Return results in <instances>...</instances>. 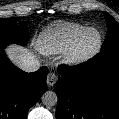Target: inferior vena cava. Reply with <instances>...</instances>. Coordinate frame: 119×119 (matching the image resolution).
<instances>
[{
	"label": "inferior vena cava",
	"instance_id": "inferior-vena-cava-1",
	"mask_svg": "<svg viewBox=\"0 0 119 119\" xmlns=\"http://www.w3.org/2000/svg\"><path fill=\"white\" fill-rule=\"evenodd\" d=\"M19 67L25 72H35L40 68V61L35 56H31L20 63Z\"/></svg>",
	"mask_w": 119,
	"mask_h": 119
}]
</instances>
